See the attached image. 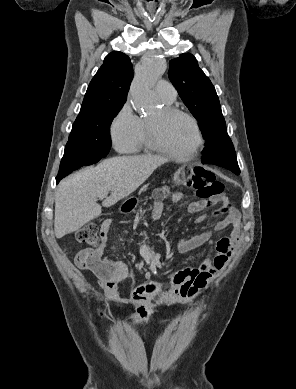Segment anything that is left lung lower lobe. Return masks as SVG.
Instances as JSON below:
<instances>
[{
	"label": "left lung lower lobe",
	"mask_w": 296,
	"mask_h": 389,
	"mask_svg": "<svg viewBox=\"0 0 296 389\" xmlns=\"http://www.w3.org/2000/svg\"><path fill=\"white\" fill-rule=\"evenodd\" d=\"M203 164H214L240 174L233 143L227 133V128L221 131L210 144L203 149Z\"/></svg>",
	"instance_id": "left-lung-lower-lobe-1"
}]
</instances>
